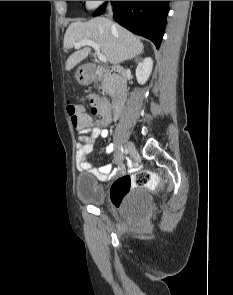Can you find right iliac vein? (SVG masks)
Here are the masks:
<instances>
[{"label":"right iliac vein","mask_w":233,"mask_h":295,"mask_svg":"<svg viewBox=\"0 0 233 295\" xmlns=\"http://www.w3.org/2000/svg\"><path fill=\"white\" fill-rule=\"evenodd\" d=\"M127 148H128V154H129L130 159L135 158L137 152H136V148H135L134 144L132 142H129L127 144Z\"/></svg>","instance_id":"right-iliac-vein-1"}]
</instances>
